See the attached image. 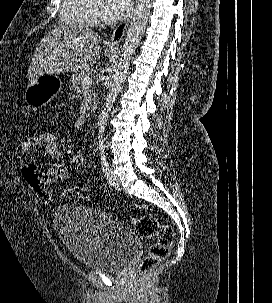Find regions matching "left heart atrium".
<instances>
[{
	"label": "left heart atrium",
	"instance_id": "1",
	"mask_svg": "<svg viewBox=\"0 0 272 303\" xmlns=\"http://www.w3.org/2000/svg\"><path fill=\"white\" fill-rule=\"evenodd\" d=\"M131 8L132 0H105L103 14L111 21H120L129 15Z\"/></svg>",
	"mask_w": 272,
	"mask_h": 303
}]
</instances>
